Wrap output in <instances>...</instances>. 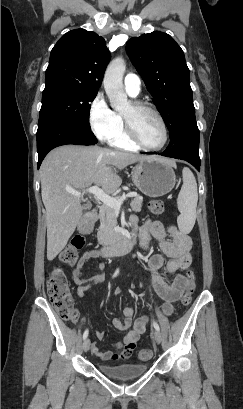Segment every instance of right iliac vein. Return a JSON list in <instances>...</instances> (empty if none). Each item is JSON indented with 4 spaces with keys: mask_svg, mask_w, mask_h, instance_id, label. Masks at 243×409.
Listing matches in <instances>:
<instances>
[{
    "mask_svg": "<svg viewBox=\"0 0 243 409\" xmlns=\"http://www.w3.org/2000/svg\"><path fill=\"white\" fill-rule=\"evenodd\" d=\"M90 339L89 338H86L85 339V341L83 342V350L85 351V352H87L88 350H89V348H90Z\"/></svg>",
    "mask_w": 243,
    "mask_h": 409,
    "instance_id": "1",
    "label": "right iliac vein"
}]
</instances>
